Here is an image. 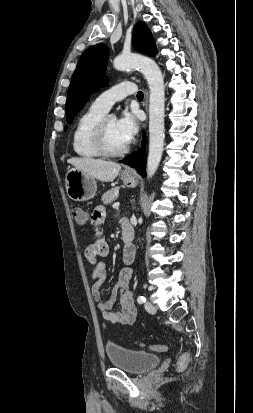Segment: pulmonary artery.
<instances>
[{
	"mask_svg": "<svg viewBox=\"0 0 253 413\" xmlns=\"http://www.w3.org/2000/svg\"><path fill=\"white\" fill-rule=\"evenodd\" d=\"M136 92V85L129 81L121 82L100 94L92 106L103 112H108L114 103Z\"/></svg>",
	"mask_w": 253,
	"mask_h": 413,
	"instance_id": "e3ab8cb5",
	"label": "pulmonary artery"
}]
</instances>
